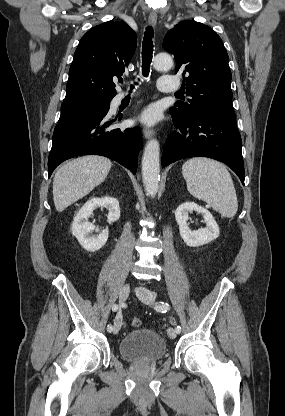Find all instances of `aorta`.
<instances>
[{"instance_id":"762f6f07","label":"aorta","mask_w":285,"mask_h":416,"mask_svg":"<svg viewBox=\"0 0 285 416\" xmlns=\"http://www.w3.org/2000/svg\"><path fill=\"white\" fill-rule=\"evenodd\" d=\"M153 66L158 71H167L172 68L173 60L169 54L160 53L154 58ZM142 181L147 195L154 197L160 181V145L155 139L148 141L144 149Z\"/></svg>"}]
</instances>
